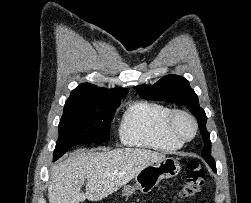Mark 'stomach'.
I'll list each match as a JSON object with an SVG mask.
<instances>
[{"mask_svg":"<svg viewBox=\"0 0 251 203\" xmlns=\"http://www.w3.org/2000/svg\"><path fill=\"white\" fill-rule=\"evenodd\" d=\"M181 166L177 159L166 157L161 161L143 168L134 178L133 186L126 185L123 188V196L129 197L136 190L148 193L154 189L164 178H172L179 174Z\"/></svg>","mask_w":251,"mask_h":203,"instance_id":"stomach-1","label":"stomach"}]
</instances>
